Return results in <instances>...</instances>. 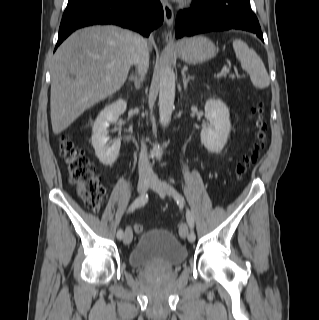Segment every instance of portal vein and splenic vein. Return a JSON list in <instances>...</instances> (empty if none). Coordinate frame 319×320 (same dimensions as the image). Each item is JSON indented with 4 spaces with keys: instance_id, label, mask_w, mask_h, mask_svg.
<instances>
[{
    "instance_id": "portal-vein-and-splenic-vein-1",
    "label": "portal vein and splenic vein",
    "mask_w": 319,
    "mask_h": 320,
    "mask_svg": "<svg viewBox=\"0 0 319 320\" xmlns=\"http://www.w3.org/2000/svg\"><path fill=\"white\" fill-rule=\"evenodd\" d=\"M228 70H225L224 74L228 73ZM236 75L235 74H230L229 77L234 78Z\"/></svg>"
}]
</instances>
